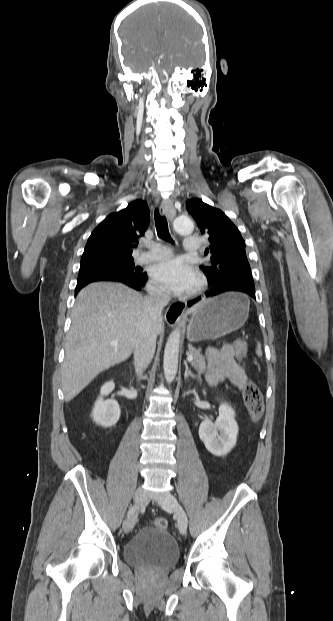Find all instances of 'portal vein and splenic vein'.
Returning a JSON list of instances; mask_svg holds the SVG:
<instances>
[{
	"label": "portal vein and splenic vein",
	"instance_id": "obj_1",
	"mask_svg": "<svg viewBox=\"0 0 333 621\" xmlns=\"http://www.w3.org/2000/svg\"><path fill=\"white\" fill-rule=\"evenodd\" d=\"M193 359H194V358H193V356H192V355H188V356H187V361H188V362H192V361H193Z\"/></svg>",
	"mask_w": 333,
	"mask_h": 621
}]
</instances>
